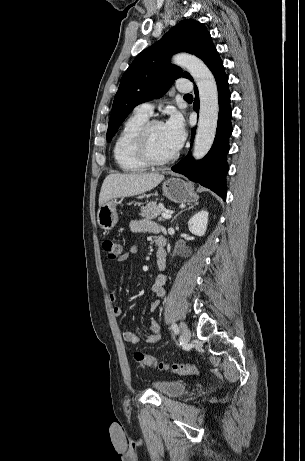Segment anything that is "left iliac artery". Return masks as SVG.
<instances>
[{"instance_id": "left-iliac-artery-1", "label": "left iliac artery", "mask_w": 305, "mask_h": 461, "mask_svg": "<svg viewBox=\"0 0 305 461\" xmlns=\"http://www.w3.org/2000/svg\"><path fill=\"white\" fill-rule=\"evenodd\" d=\"M172 330L174 331L175 334H177L179 332V328H178L177 324H175V323L172 324Z\"/></svg>"}]
</instances>
